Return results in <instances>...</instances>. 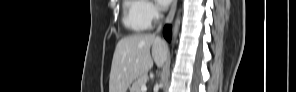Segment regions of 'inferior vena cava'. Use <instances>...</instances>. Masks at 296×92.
<instances>
[{
	"label": "inferior vena cava",
	"mask_w": 296,
	"mask_h": 92,
	"mask_svg": "<svg viewBox=\"0 0 296 92\" xmlns=\"http://www.w3.org/2000/svg\"><path fill=\"white\" fill-rule=\"evenodd\" d=\"M160 28H161V27H159L157 31H159V30H160Z\"/></svg>",
	"instance_id": "602c4592"
}]
</instances>
